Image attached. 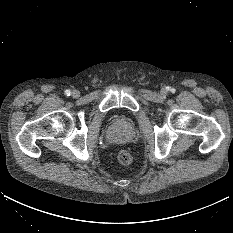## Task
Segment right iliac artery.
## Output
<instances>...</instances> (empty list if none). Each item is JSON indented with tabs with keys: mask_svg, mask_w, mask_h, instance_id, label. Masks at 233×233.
<instances>
[{
	"mask_svg": "<svg viewBox=\"0 0 233 233\" xmlns=\"http://www.w3.org/2000/svg\"><path fill=\"white\" fill-rule=\"evenodd\" d=\"M70 94H71V91H70V90H68V89L65 90V95H66V96H70Z\"/></svg>",
	"mask_w": 233,
	"mask_h": 233,
	"instance_id": "right-iliac-artery-1",
	"label": "right iliac artery"
}]
</instances>
